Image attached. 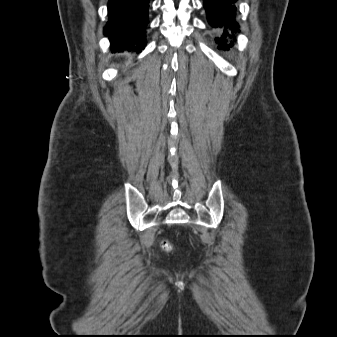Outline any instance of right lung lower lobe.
<instances>
[{
    "label": "right lung lower lobe",
    "instance_id": "right-lung-lower-lobe-1",
    "mask_svg": "<svg viewBox=\"0 0 337 337\" xmlns=\"http://www.w3.org/2000/svg\"><path fill=\"white\" fill-rule=\"evenodd\" d=\"M150 0H109V21L104 34L109 38L112 52L141 51L146 45Z\"/></svg>",
    "mask_w": 337,
    "mask_h": 337
}]
</instances>
